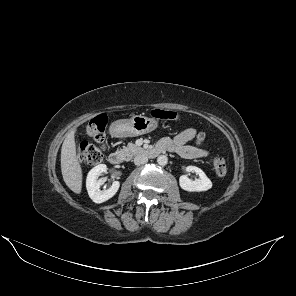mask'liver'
Instances as JSON below:
<instances>
[{"label":"liver","mask_w":296,"mask_h":296,"mask_svg":"<svg viewBox=\"0 0 296 296\" xmlns=\"http://www.w3.org/2000/svg\"><path fill=\"white\" fill-rule=\"evenodd\" d=\"M61 171L66 185L74 192L82 190V168L76 153L75 130L70 131L61 148Z\"/></svg>","instance_id":"liver-1"}]
</instances>
